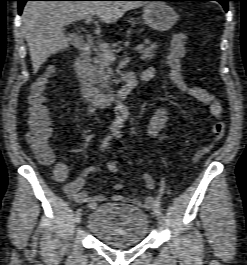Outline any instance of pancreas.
<instances>
[{
  "mask_svg": "<svg viewBox=\"0 0 247 265\" xmlns=\"http://www.w3.org/2000/svg\"><path fill=\"white\" fill-rule=\"evenodd\" d=\"M157 47V43L150 44L140 51V58L144 61L153 59ZM111 51L114 52L113 50ZM112 63L113 60L108 59L103 52L100 50L96 52L92 66V74L100 89L109 90L110 86L115 82L113 79L114 72L111 67Z\"/></svg>",
  "mask_w": 247,
  "mask_h": 265,
  "instance_id": "obj_1",
  "label": "pancreas"
}]
</instances>
